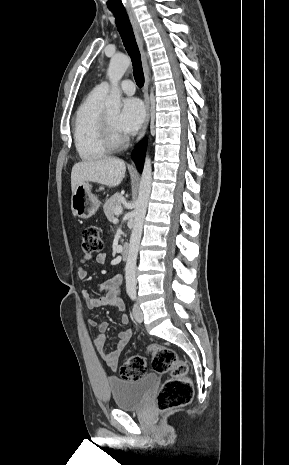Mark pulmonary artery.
Returning a JSON list of instances; mask_svg holds the SVG:
<instances>
[{
	"label": "pulmonary artery",
	"mask_w": 289,
	"mask_h": 465,
	"mask_svg": "<svg viewBox=\"0 0 289 465\" xmlns=\"http://www.w3.org/2000/svg\"><path fill=\"white\" fill-rule=\"evenodd\" d=\"M96 88L105 94L110 90V84L108 82H102ZM120 89L127 95H132L135 93V85L131 80H123L120 84Z\"/></svg>",
	"instance_id": "e3ab8cb5"
}]
</instances>
